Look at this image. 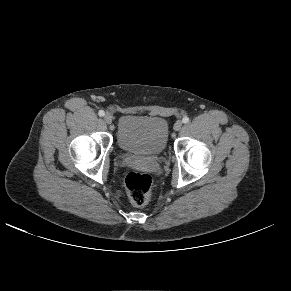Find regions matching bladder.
<instances>
[{
  "mask_svg": "<svg viewBox=\"0 0 291 291\" xmlns=\"http://www.w3.org/2000/svg\"><path fill=\"white\" fill-rule=\"evenodd\" d=\"M169 125L160 116L127 114L117 124L116 141L120 149L135 155H159L166 148Z\"/></svg>",
  "mask_w": 291,
  "mask_h": 291,
  "instance_id": "bladder-1",
  "label": "bladder"
}]
</instances>
